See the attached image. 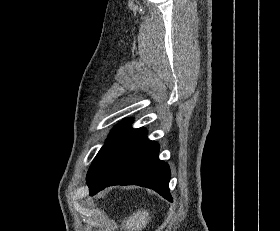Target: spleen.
I'll return each mask as SVG.
<instances>
[{"mask_svg":"<svg viewBox=\"0 0 280 231\" xmlns=\"http://www.w3.org/2000/svg\"><path fill=\"white\" fill-rule=\"evenodd\" d=\"M150 221V213L147 209H138L135 213H132L130 217L124 219L123 227L126 231H140L142 227H146Z\"/></svg>","mask_w":280,"mask_h":231,"instance_id":"1","label":"spleen"}]
</instances>
